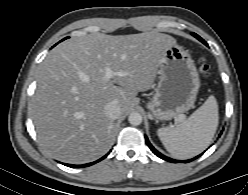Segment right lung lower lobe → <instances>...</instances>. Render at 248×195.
I'll return each instance as SVG.
<instances>
[{
	"label": "right lung lower lobe",
	"mask_w": 248,
	"mask_h": 195,
	"mask_svg": "<svg viewBox=\"0 0 248 195\" xmlns=\"http://www.w3.org/2000/svg\"><path fill=\"white\" fill-rule=\"evenodd\" d=\"M107 155L103 156L102 158H100L99 160L95 161V162H91V163H87V164H83V165H71V164H64L66 166L69 167H73V168H80V167H87V166H91L99 161H101L102 159H104Z\"/></svg>",
	"instance_id": "98d812e1"
}]
</instances>
